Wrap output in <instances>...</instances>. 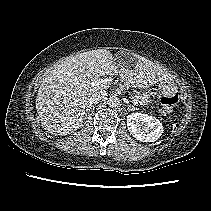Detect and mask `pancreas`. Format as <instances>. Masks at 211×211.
I'll return each instance as SVG.
<instances>
[{"label": "pancreas", "mask_w": 211, "mask_h": 211, "mask_svg": "<svg viewBox=\"0 0 211 211\" xmlns=\"http://www.w3.org/2000/svg\"><path fill=\"white\" fill-rule=\"evenodd\" d=\"M134 99H136L141 105H148L152 102L147 94L142 95L138 92H135ZM159 112L163 115H166V112L163 110H159Z\"/></svg>", "instance_id": "1"}]
</instances>
